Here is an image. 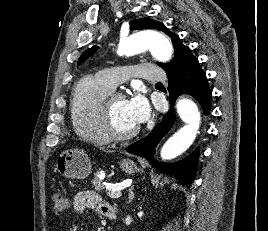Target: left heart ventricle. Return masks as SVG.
<instances>
[{
	"label": "left heart ventricle",
	"mask_w": 268,
	"mask_h": 231,
	"mask_svg": "<svg viewBox=\"0 0 268 231\" xmlns=\"http://www.w3.org/2000/svg\"><path fill=\"white\" fill-rule=\"evenodd\" d=\"M113 117L117 128L121 131H130L138 126L128 107L126 99H121L115 102L113 107Z\"/></svg>",
	"instance_id": "1"
}]
</instances>
